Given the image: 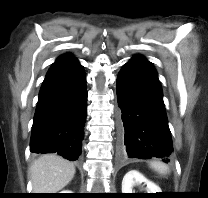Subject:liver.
Listing matches in <instances>:
<instances>
[{
    "label": "liver",
    "mask_w": 208,
    "mask_h": 198,
    "mask_svg": "<svg viewBox=\"0 0 208 198\" xmlns=\"http://www.w3.org/2000/svg\"><path fill=\"white\" fill-rule=\"evenodd\" d=\"M73 163L56 155H43L33 162L29 174L34 193H56L74 177Z\"/></svg>",
    "instance_id": "obj_1"
}]
</instances>
